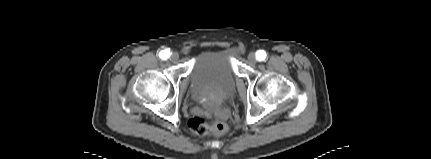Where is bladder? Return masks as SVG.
I'll return each mask as SVG.
<instances>
[{"instance_id":"bladder-1","label":"bladder","mask_w":431,"mask_h":159,"mask_svg":"<svg viewBox=\"0 0 431 159\" xmlns=\"http://www.w3.org/2000/svg\"><path fill=\"white\" fill-rule=\"evenodd\" d=\"M234 47L204 51L195 59L190 72V90L195 100L216 107L229 101L236 91Z\"/></svg>"}]
</instances>
